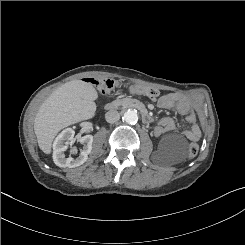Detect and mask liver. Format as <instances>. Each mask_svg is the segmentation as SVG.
<instances>
[{"instance_id":"6515ba94","label":"liver","mask_w":245,"mask_h":245,"mask_svg":"<svg viewBox=\"0 0 245 245\" xmlns=\"http://www.w3.org/2000/svg\"><path fill=\"white\" fill-rule=\"evenodd\" d=\"M97 97L94 86L82 80L67 82L53 91L40 106L34 120L39 148L50 154L52 142L60 130L93 118Z\"/></svg>"}]
</instances>
